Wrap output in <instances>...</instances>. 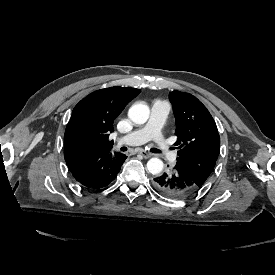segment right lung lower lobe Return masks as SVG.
I'll use <instances>...</instances> for the list:
<instances>
[{
    "label": "right lung lower lobe",
    "instance_id": "98d812e1",
    "mask_svg": "<svg viewBox=\"0 0 275 275\" xmlns=\"http://www.w3.org/2000/svg\"><path fill=\"white\" fill-rule=\"evenodd\" d=\"M106 150H86L65 154L66 164L77 182L87 188L109 185L119 173L126 155Z\"/></svg>",
    "mask_w": 275,
    "mask_h": 275
}]
</instances>
